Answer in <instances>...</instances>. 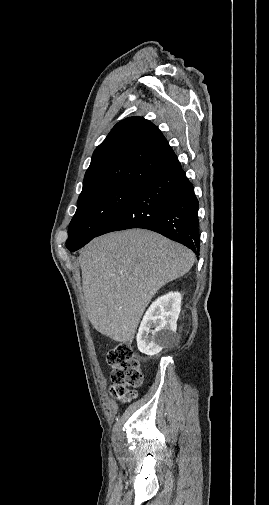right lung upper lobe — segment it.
Masks as SVG:
<instances>
[{
  "mask_svg": "<svg viewBox=\"0 0 269 505\" xmlns=\"http://www.w3.org/2000/svg\"><path fill=\"white\" fill-rule=\"evenodd\" d=\"M178 159L161 131L142 117L118 122L95 149L83 190L105 185L140 187Z\"/></svg>",
  "mask_w": 269,
  "mask_h": 505,
  "instance_id": "cb5924a9",
  "label": "right lung upper lobe"
}]
</instances>
